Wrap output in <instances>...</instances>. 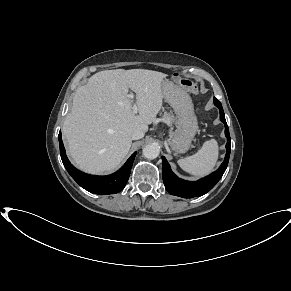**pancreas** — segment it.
Wrapping results in <instances>:
<instances>
[{
  "label": "pancreas",
  "instance_id": "obj_1",
  "mask_svg": "<svg viewBox=\"0 0 291 291\" xmlns=\"http://www.w3.org/2000/svg\"><path fill=\"white\" fill-rule=\"evenodd\" d=\"M162 120L166 124L171 125L174 122V117L165 112L162 116Z\"/></svg>",
  "mask_w": 291,
  "mask_h": 291
}]
</instances>
